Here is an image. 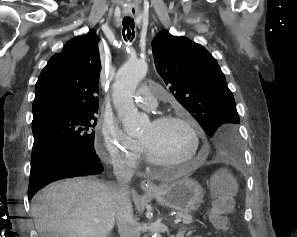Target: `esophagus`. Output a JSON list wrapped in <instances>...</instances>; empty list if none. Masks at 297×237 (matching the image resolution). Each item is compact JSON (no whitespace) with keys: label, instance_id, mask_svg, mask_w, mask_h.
<instances>
[{"label":"esophagus","instance_id":"esophagus-1","mask_svg":"<svg viewBox=\"0 0 297 237\" xmlns=\"http://www.w3.org/2000/svg\"><path fill=\"white\" fill-rule=\"evenodd\" d=\"M140 186H141V189L144 191H156L157 190L154 183L149 179L142 180L140 183Z\"/></svg>","mask_w":297,"mask_h":237}]
</instances>
